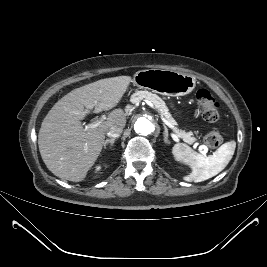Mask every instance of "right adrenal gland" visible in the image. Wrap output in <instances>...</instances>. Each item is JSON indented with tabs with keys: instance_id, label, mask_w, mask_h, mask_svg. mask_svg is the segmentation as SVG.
Returning <instances> with one entry per match:
<instances>
[{
	"instance_id": "obj_1",
	"label": "right adrenal gland",
	"mask_w": 267,
	"mask_h": 267,
	"mask_svg": "<svg viewBox=\"0 0 267 267\" xmlns=\"http://www.w3.org/2000/svg\"><path fill=\"white\" fill-rule=\"evenodd\" d=\"M115 140H116V138H111V139H107L105 142H104V149H106V146L108 145V144H110V146L112 147L113 146V144H114V142H115Z\"/></svg>"
}]
</instances>
